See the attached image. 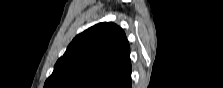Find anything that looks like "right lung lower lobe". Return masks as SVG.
<instances>
[{"instance_id":"obj_1","label":"right lung lower lobe","mask_w":223,"mask_h":88,"mask_svg":"<svg viewBox=\"0 0 223 88\" xmlns=\"http://www.w3.org/2000/svg\"><path fill=\"white\" fill-rule=\"evenodd\" d=\"M129 85H131V82H130V80H129Z\"/></svg>"}]
</instances>
